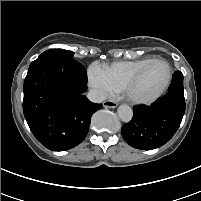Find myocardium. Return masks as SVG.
<instances>
[{
  "label": "myocardium",
  "instance_id": "1",
  "mask_svg": "<svg viewBox=\"0 0 201 201\" xmlns=\"http://www.w3.org/2000/svg\"><path fill=\"white\" fill-rule=\"evenodd\" d=\"M155 62H163L167 65L168 67V76L166 79V82L164 83V85L153 95L149 96V97H138L136 95L133 94V87L135 86V84L138 82V80L140 79V77L142 76V74L145 72V70L153 63ZM172 77H173V69L171 64L164 58H153L152 60H150L149 62H147L145 65H143L138 71H136L129 79L128 81L125 83L124 87H123V93L126 96V98L128 99V101H130L133 104H151L154 101H156L157 99H159L169 88L171 81H172Z\"/></svg>",
  "mask_w": 201,
  "mask_h": 201
}]
</instances>
